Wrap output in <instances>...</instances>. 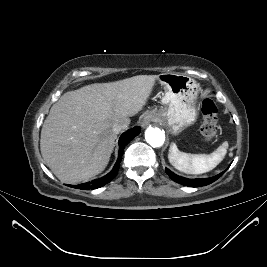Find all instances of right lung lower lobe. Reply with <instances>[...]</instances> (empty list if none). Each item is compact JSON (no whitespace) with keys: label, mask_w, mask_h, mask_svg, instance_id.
Returning <instances> with one entry per match:
<instances>
[{"label":"right lung lower lobe","mask_w":267,"mask_h":267,"mask_svg":"<svg viewBox=\"0 0 267 267\" xmlns=\"http://www.w3.org/2000/svg\"><path fill=\"white\" fill-rule=\"evenodd\" d=\"M141 131V128L136 126L132 129H129L128 131H126L125 133H123L119 139V145H120V149H119V157L118 160L114 166V168L111 170L110 173H108L107 175H105L104 177L100 178V179H96L93 180L91 182H87V183H83L77 186H72L74 188H78V189H96V188H100L102 186H104L105 184L109 183L117 174L119 167H120V162L122 160V155H123V150L125 148V146L135 137L137 136Z\"/></svg>","instance_id":"1"}]
</instances>
